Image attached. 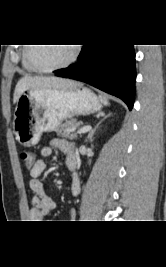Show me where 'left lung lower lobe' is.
Masks as SVG:
<instances>
[{"label": "left lung lower lobe", "instance_id": "left-lung-lower-lobe-1", "mask_svg": "<svg viewBox=\"0 0 166 267\" xmlns=\"http://www.w3.org/2000/svg\"><path fill=\"white\" fill-rule=\"evenodd\" d=\"M75 65L54 71L56 76L88 83L121 98L131 110L135 94L133 45H84Z\"/></svg>", "mask_w": 166, "mask_h": 267}]
</instances>
